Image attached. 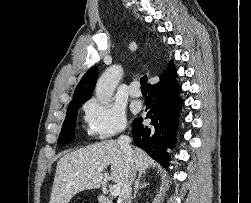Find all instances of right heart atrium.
<instances>
[{
  "mask_svg": "<svg viewBox=\"0 0 251 203\" xmlns=\"http://www.w3.org/2000/svg\"><path fill=\"white\" fill-rule=\"evenodd\" d=\"M85 113L89 133L100 139H109L121 133L127 125L125 112L121 107L96 98L87 102Z\"/></svg>",
  "mask_w": 251,
  "mask_h": 203,
  "instance_id": "1",
  "label": "right heart atrium"
}]
</instances>
